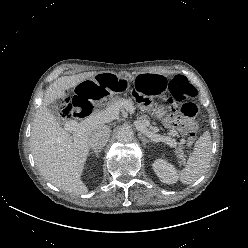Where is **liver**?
Masks as SVG:
<instances>
[{"label": "liver", "mask_w": 248, "mask_h": 248, "mask_svg": "<svg viewBox=\"0 0 248 248\" xmlns=\"http://www.w3.org/2000/svg\"><path fill=\"white\" fill-rule=\"evenodd\" d=\"M96 74L94 71L84 72L60 77L54 81L47 88L31 127V151L41 175L54 186L75 195L88 192L81 175L89 154V137L104 123L95 124L71 135L60 127L47 106L59 98H65L66 90L76 87Z\"/></svg>", "instance_id": "obj_1"}]
</instances>
